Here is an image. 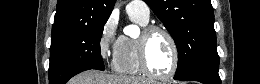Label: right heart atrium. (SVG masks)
<instances>
[{
	"instance_id": "obj_1",
	"label": "right heart atrium",
	"mask_w": 260,
	"mask_h": 84,
	"mask_svg": "<svg viewBox=\"0 0 260 84\" xmlns=\"http://www.w3.org/2000/svg\"><path fill=\"white\" fill-rule=\"evenodd\" d=\"M117 23L113 17H109L101 27L98 49L101 57L108 61H114L119 48V38L116 35Z\"/></svg>"
}]
</instances>
